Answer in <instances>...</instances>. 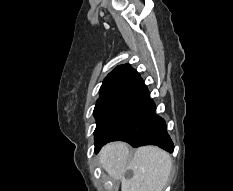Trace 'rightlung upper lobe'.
<instances>
[{"label": "right lung upper lobe", "mask_w": 233, "mask_h": 191, "mask_svg": "<svg viewBox=\"0 0 233 191\" xmlns=\"http://www.w3.org/2000/svg\"><path fill=\"white\" fill-rule=\"evenodd\" d=\"M140 79V75L129 64L117 66L104 79L97 102L125 95Z\"/></svg>", "instance_id": "cb5924a9"}]
</instances>
